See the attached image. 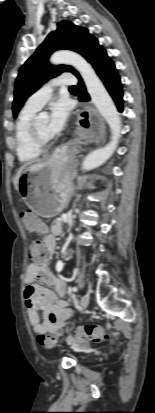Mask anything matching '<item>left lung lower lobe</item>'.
I'll use <instances>...</instances> for the list:
<instances>
[{
  "label": "left lung lower lobe",
  "mask_w": 155,
  "mask_h": 413,
  "mask_svg": "<svg viewBox=\"0 0 155 413\" xmlns=\"http://www.w3.org/2000/svg\"><path fill=\"white\" fill-rule=\"evenodd\" d=\"M92 66L95 69L96 73L103 81L105 87L107 88L109 94L113 98L119 112L123 111V91H122V84L120 81V76L118 75V71L115 68L113 61L108 57L106 51L102 49L98 55L92 61ZM79 79V89L81 91V95L79 96V100L82 102H87L90 100L89 95L86 92V88L81 77Z\"/></svg>",
  "instance_id": "obj_1"
}]
</instances>
